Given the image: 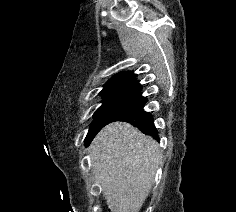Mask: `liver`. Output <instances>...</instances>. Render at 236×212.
<instances>
[{"mask_svg":"<svg viewBox=\"0 0 236 212\" xmlns=\"http://www.w3.org/2000/svg\"><path fill=\"white\" fill-rule=\"evenodd\" d=\"M91 167L112 212H139L153 185L158 143L132 125H107L91 144Z\"/></svg>","mask_w":236,"mask_h":212,"instance_id":"liver-1","label":"liver"}]
</instances>
